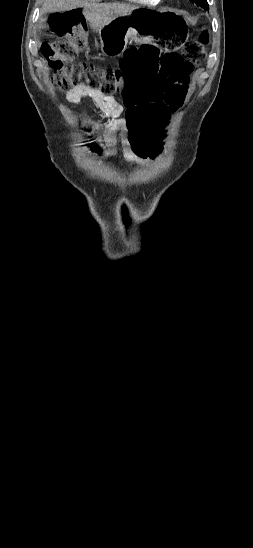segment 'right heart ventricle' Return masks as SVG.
<instances>
[{
  "label": "right heart ventricle",
  "instance_id": "right-heart-ventricle-1",
  "mask_svg": "<svg viewBox=\"0 0 253 548\" xmlns=\"http://www.w3.org/2000/svg\"><path fill=\"white\" fill-rule=\"evenodd\" d=\"M129 1L140 3V4H145V5H156L161 0H129Z\"/></svg>",
  "mask_w": 253,
  "mask_h": 548
}]
</instances>
